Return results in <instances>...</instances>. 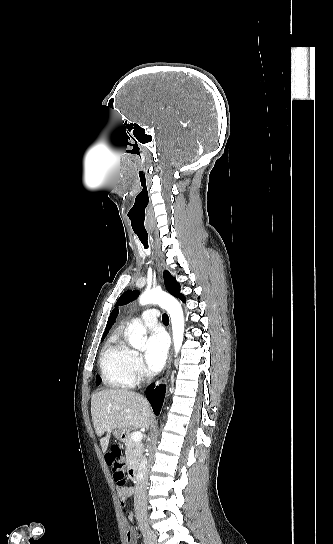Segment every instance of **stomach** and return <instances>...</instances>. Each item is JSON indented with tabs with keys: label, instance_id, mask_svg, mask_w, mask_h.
<instances>
[{
	"label": "stomach",
	"instance_id": "1",
	"mask_svg": "<svg viewBox=\"0 0 333 544\" xmlns=\"http://www.w3.org/2000/svg\"><path fill=\"white\" fill-rule=\"evenodd\" d=\"M125 434H126V430H122V429L113 430L114 437L119 439V440H122L123 437L125 436Z\"/></svg>",
	"mask_w": 333,
	"mask_h": 544
}]
</instances>
